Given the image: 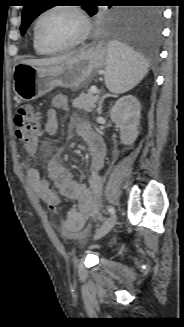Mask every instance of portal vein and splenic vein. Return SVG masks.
Returning a JSON list of instances; mask_svg holds the SVG:
<instances>
[{
	"instance_id": "obj_1",
	"label": "portal vein and splenic vein",
	"mask_w": 184,
	"mask_h": 327,
	"mask_svg": "<svg viewBox=\"0 0 184 327\" xmlns=\"http://www.w3.org/2000/svg\"><path fill=\"white\" fill-rule=\"evenodd\" d=\"M91 91H92L93 93H97V92H98V89L94 86V87H91Z\"/></svg>"
}]
</instances>
